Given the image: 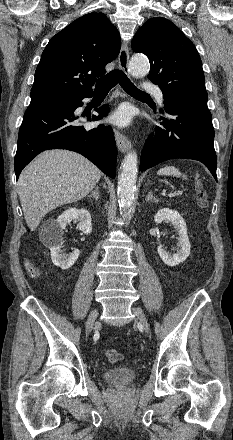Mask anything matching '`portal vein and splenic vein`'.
<instances>
[{
  "mask_svg": "<svg viewBox=\"0 0 233 440\" xmlns=\"http://www.w3.org/2000/svg\"><path fill=\"white\" fill-rule=\"evenodd\" d=\"M182 194H183L182 191H179L178 193L173 192V193H169V194H168V197H175L176 195H182Z\"/></svg>",
  "mask_w": 233,
  "mask_h": 440,
  "instance_id": "1",
  "label": "portal vein and splenic vein"
}]
</instances>
